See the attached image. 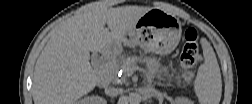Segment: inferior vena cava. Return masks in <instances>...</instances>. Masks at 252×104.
<instances>
[{"label": "inferior vena cava", "instance_id": "1", "mask_svg": "<svg viewBox=\"0 0 252 104\" xmlns=\"http://www.w3.org/2000/svg\"><path fill=\"white\" fill-rule=\"evenodd\" d=\"M120 89L119 88H115V87H106L105 88V94L108 96H117L120 93Z\"/></svg>", "mask_w": 252, "mask_h": 104}]
</instances>
